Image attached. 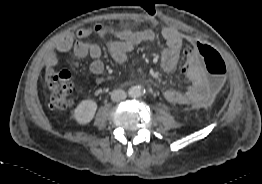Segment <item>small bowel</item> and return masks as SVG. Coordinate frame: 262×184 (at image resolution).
Masks as SVG:
<instances>
[{"label":"small bowel","instance_id":"c3829d8e","mask_svg":"<svg viewBox=\"0 0 262 184\" xmlns=\"http://www.w3.org/2000/svg\"><path fill=\"white\" fill-rule=\"evenodd\" d=\"M91 35L106 37L114 35L116 40L109 44L108 50L112 59L118 64H124L128 60V54L139 44L152 42L156 39V34L150 29L134 31L127 28H112L105 25H96L92 28H80L76 36L86 39ZM162 38L166 43L162 51L160 63L164 70H173L180 59V53L183 43L186 41V35L173 27H166L162 30ZM56 51L50 52L45 57V68L51 72L58 64L57 53H66L73 51L78 58L89 57L91 59L90 71L94 75H101L104 71L101 48L90 41H75L73 34H66L60 37L56 42ZM182 57L186 62L181 66V72L187 83L191 85L185 91L166 90L164 92L165 100L178 106H191L193 108H203L207 106L213 97V90L206 84V75L204 65L195 55V43L188 41L186 49L182 52ZM103 80L97 79L101 84Z\"/></svg>","mask_w":262,"mask_h":184}]
</instances>
